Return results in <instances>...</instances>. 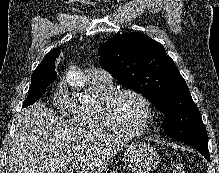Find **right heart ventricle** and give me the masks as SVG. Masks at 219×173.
I'll list each match as a JSON object with an SVG mask.
<instances>
[{
  "label": "right heart ventricle",
  "mask_w": 219,
  "mask_h": 173,
  "mask_svg": "<svg viewBox=\"0 0 219 173\" xmlns=\"http://www.w3.org/2000/svg\"><path fill=\"white\" fill-rule=\"evenodd\" d=\"M114 90L112 83L91 81V93L94 99L89 103L76 104L75 120L78 125L96 133H114L102 112L103 100Z\"/></svg>",
  "instance_id": "e07e8e85"
}]
</instances>
